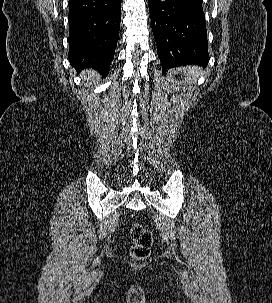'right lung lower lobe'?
<instances>
[{"label": "right lung lower lobe", "mask_w": 272, "mask_h": 303, "mask_svg": "<svg viewBox=\"0 0 272 303\" xmlns=\"http://www.w3.org/2000/svg\"><path fill=\"white\" fill-rule=\"evenodd\" d=\"M121 0H69V61L106 76L119 38Z\"/></svg>", "instance_id": "right-lung-lower-lobe-1"}]
</instances>
